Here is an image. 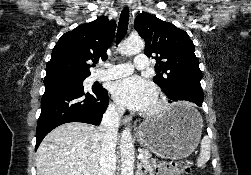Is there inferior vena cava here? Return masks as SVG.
Listing matches in <instances>:
<instances>
[{"label": "inferior vena cava", "instance_id": "602c4592", "mask_svg": "<svg viewBox=\"0 0 251 175\" xmlns=\"http://www.w3.org/2000/svg\"><path fill=\"white\" fill-rule=\"evenodd\" d=\"M124 107H108L97 127L96 137L101 139V155L98 175H115L117 131Z\"/></svg>", "mask_w": 251, "mask_h": 175}]
</instances>
